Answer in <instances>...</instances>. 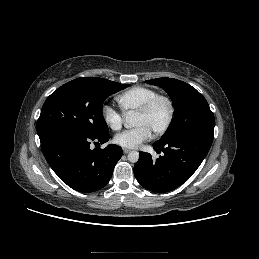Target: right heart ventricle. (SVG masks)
I'll use <instances>...</instances> for the list:
<instances>
[{
	"label": "right heart ventricle",
	"instance_id": "e07e8e85",
	"mask_svg": "<svg viewBox=\"0 0 259 259\" xmlns=\"http://www.w3.org/2000/svg\"><path fill=\"white\" fill-rule=\"evenodd\" d=\"M158 92L152 88L144 86H135L116 97L124 113L136 112L150 98L157 95Z\"/></svg>",
	"mask_w": 259,
	"mask_h": 259
}]
</instances>
